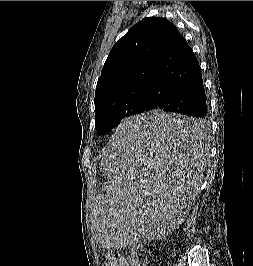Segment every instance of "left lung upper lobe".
Wrapping results in <instances>:
<instances>
[{
  "mask_svg": "<svg viewBox=\"0 0 253 266\" xmlns=\"http://www.w3.org/2000/svg\"><path fill=\"white\" fill-rule=\"evenodd\" d=\"M165 18H144L112 47L95 92V128L105 134L144 112L158 60L176 31Z\"/></svg>",
  "mask_w": 253,
  "mask_h": 266,
  "instance_id": "5c2ea615",
  "label": "left lung upper lobe"
}]
</instances>
